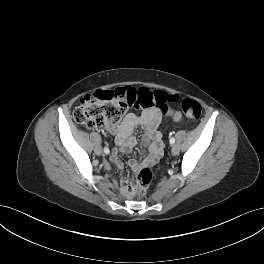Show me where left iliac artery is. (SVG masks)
I'll list each match as a JSON object with an SVG mask.
<instances>
[{"mask_svg":"<svg viewBox=\"0 0 264 264\" xmlns=\"http://www.w3.org/2000/svg\"><path fill=\"white\" fill-rule=\"evenodd\" d=\"M170 143L171 144H174L175 143V139L172 137V138H170Z\"/></svg>","mask_w":264,"mask_h":264,"instance_id":"44dca946","label":"left iliac artery"}]
</instances>
